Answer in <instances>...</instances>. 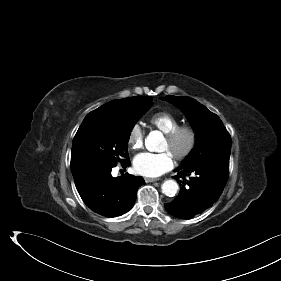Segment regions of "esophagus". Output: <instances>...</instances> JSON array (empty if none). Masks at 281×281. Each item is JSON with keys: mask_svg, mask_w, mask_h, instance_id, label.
Here are the masks:
<instances>
[{"mask_svg": "<svg viewBox=\"0 0 281 281\" xmlns=\"http://www.w3.org/2000/svg\"><path fill=\"white\" fill-rule=\"evenodd\" d=\"M145 181H146L147 183H149V182L159 181V179H158V178H145Z\"/></svg>", "mask_w": 281, "mask_h": 281, "instance_id": "esophagus-1", "label": "esophagus"}]
</instances>
